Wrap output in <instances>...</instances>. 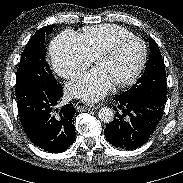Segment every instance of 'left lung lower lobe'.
<instances>
[{
	"mask_svg": "<svg viewBox=\"0 0 183 183\" xmlns=\"http://www.w3.org/2000/svg\"><path fill=\"white\" fill-rule=\"evenodd\" d=\"M117 102L115 119L104 133L109 143L117 148L133 150L148 141L158 127L163 107L125 93L114 97Z\"/></svg>",
	"mask_w": 183,
	"mask_h": 183,
	"instance_id": "left-lung-lower-lobe-1",
	"label": "left lung lower lobe"
}]
</instances>
